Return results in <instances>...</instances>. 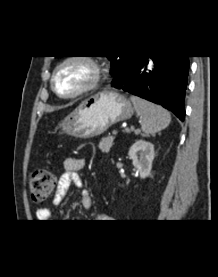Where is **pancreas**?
Returning <instances> with one entry per match:
<instances>
[{
  "mask_svg": "<svg viewBox=\"0 0 218 277\" xmlns=\"http://www.w3.org/2000/svg\"><path fill=\"white\" fill-rule=\"evenodd\" d=\"M113 141H114V137H111V136L102 138L98 147L103 153H108L110 151V148L113 145Z\"/></svg>",
  "mask_w": 218,
  "mask_h": 277,
  "instance_id": "1",
  "label": "pancreas"
}]
</instances>
